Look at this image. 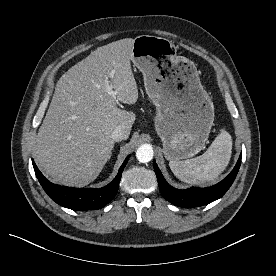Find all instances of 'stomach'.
Returning <instances> with one entry per match:
<instances>
[{
	"instance_id": "0dacf381",
	"label": "stomach",
	"mask_w": 276,
	"mask_h": 276,
	"mask_svg": "<svg viewBox=\"0 0 276 276\" xmlns=\"http://www.w3.org/2000/svg\"><path fill=\"white\" fill-rule=\"evenodd\" d=\"M131 60L156 106L155 129L166 159L195 156L204 148L215 116L195 63L178 56L171 41L150 35L134 39Z\"/></svg>"
}]
</instances>
